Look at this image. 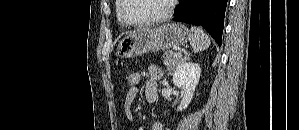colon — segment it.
Listing matches in <instances>:
<instances>
[{"label": "colon", "mask_w": 299, "mask_h": 130, "mask_svg": "<svg viewBox=\"0 0 299 130\" xmlns=\"http://www.w3.org/2000/svg\"><path fill=\"white\" fill-rule=\"evenodd\" d=\"M140 81H141V74L139 72L137 71L130 72L127 76V84L129 90L139 87Z\"/></svg>", "instance_id": "obj_1"}]
</instances>
